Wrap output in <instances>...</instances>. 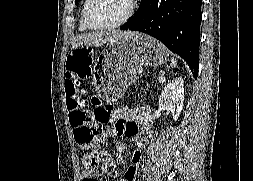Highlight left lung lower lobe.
I'll list each match as a JSON object with an SVG mask.
<instances>
[{
  "label": "left lung lower lobe",
  "instance_id": "1",
  "mask_svg": "<svg viewBox=\"0 0 253 181\" xmlns=\"http://www.w3.org/2000/svg\"><path fill=\"white\" fill-rule=\"evenodd\" d=\"M202 0H141L134 16L121 26L161 41L189 65L194 78L199 66Z\"/></svg>",
  "mask_w": 253,
  "mask_h": 181
}]
</instances>
